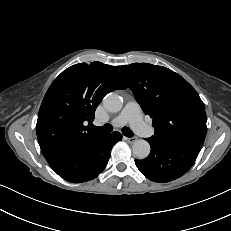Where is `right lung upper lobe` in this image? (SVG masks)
I'll list each match as a JSON object with an SVG mask.
<instances>
[{"label": "right lung upper lobe", "instance_id": "cb5924a9", "mask_svg": "<svg viewBox=\"0 0 231 231\" xmlns=\"http://www.w3.org/2000/svg\"><path fill=\"white\" fill-rule=\"evenodd\" d=\"M126 89L119 66L101 62L79 63L64 70L50 85L42 101L36 133L47 162L76 152L101 136L86 123L103 97Z\"/></svg>", "mask_w": 231, "mask_h": 231}]
</instances>
